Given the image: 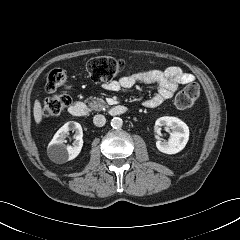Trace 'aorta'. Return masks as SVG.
<instances>
[{
    "instance_id": "762f6f07",
    "label": "aorta",
    "mask_w": 240,
    "mask_h": 240,
    "mask_svg": "<svg viewBox=\"0 0 240 240\" xmlns=\"http://www.w3.org/2000/svg\"><path fill=\"white\" fill-rule=\"evenodd\" d=\"M123 125V120L119 117H114L112 120H111V126L114 128V129H119L121 128Z\"/></svg>"
}]
</instances>
